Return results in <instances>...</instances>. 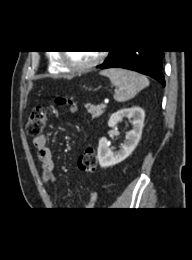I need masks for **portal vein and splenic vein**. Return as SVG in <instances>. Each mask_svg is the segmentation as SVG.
I'll return each mask as SVG.
<instances>
[{
    "mask_svg": "<svg viewBox=\"0 0 192 260\" xmlns=\"http://www.w3.org/2000/svg\"><path fill=\"white\" fill-rule=\"evenodd\" d=\"M101 106H102V107H106V104H103V103H102Z\"/></svg>",
    "mask_w": 192,
    "mask_h": 260,
    "instance_id": "18ae733b",
    "label": "portal vein and splenic vein"
}]
</instances>
